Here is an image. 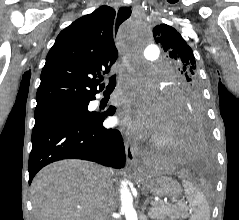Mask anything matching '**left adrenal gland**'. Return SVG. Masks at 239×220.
I'll use <instances>...</instances> for the list:
<instances>
[{"mask_svg":"<svg viewBox=\"0 0 239 220\" xmlns=\"http://www.w3.org/2000/svg\"><path fill=\"white\" fill-rule=\"evenodd\" d=\"M148 199L143 203V206H142V211H145V209H146V205H147V203H148Z\"/></svg>","mask_w":239,"mask_h":220,"instance_id":"1","label":"left adrenal gland"}]
</instances>
